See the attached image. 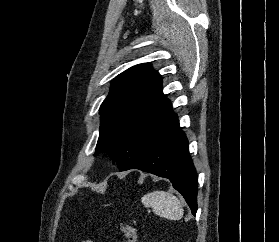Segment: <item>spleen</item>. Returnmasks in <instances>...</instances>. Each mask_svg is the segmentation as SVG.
I'll return each mask as SVG.
<instances>
[{"mask_svg": "<svg viewBox=\"0 0 279 242\" xmlns=\"http://www.w3.org/2000/svg\"><path fill=\"white\" fill-rule=\"evenodd\" d=\"M142 203L145 207H151L155 214L170 220H180L183 216L180 200L165 191H153L144 195Z\"/></svg>", "mask_w": 279, "mask_h": 242, "instance_id": "1", "label": "spleen"}]
</instances>
